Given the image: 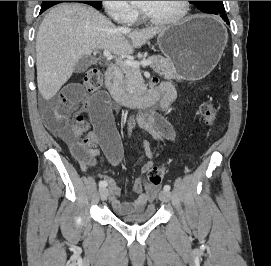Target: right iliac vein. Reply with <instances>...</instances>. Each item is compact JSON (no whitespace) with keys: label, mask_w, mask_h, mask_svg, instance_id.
<instances>
[{"label":"right iliac vein","mask_w":271,"mask_h":266,"mask_svg":"<svg viewBox=\"0 0 271 266\" xmlns=\"http://www.w3.org/2000/svg\"><path fill=\"white\" fill-rule=\"evenodd\" d=\"M99 195H100L101 200H106L107 195H108V189L107 188H100Z\"/></svg>","instance_id":"obj_1"}]
</instances>
